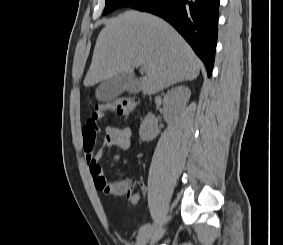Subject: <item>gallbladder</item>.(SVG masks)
I'll use <instances>...</instances> for the list:
<instances>
[{"label":"gallbladder","instance_id":"obj_1","mask_svg":"<svg viewBox=\"0 0 283 245\" xmlns=\"http://www.w3.org/2000/svg\"><path fill=\"white\" fill-rule=\"evenodd\" d=\"M141 90L139 80L132 73H119L103 81L96 89V98L101 102H109L122 93H139Z\"/></svg>","mask_w":283,"mask_h":245}]
</instances>
